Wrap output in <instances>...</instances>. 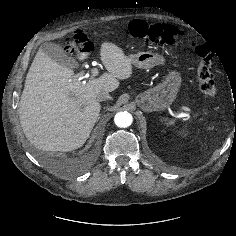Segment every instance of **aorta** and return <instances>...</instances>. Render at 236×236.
Wrapping results in <instances>:
<instances>
[{"instance_id":"1","label":"aorta","mask_w":236,"mask_h":236,"mask_svg":"<svg viewBox=\"0 0 236 236\" xmlns=\"http://www.w3.org/2000/svg\"><path fill=\"white\" fill-rule=\"evenodd\" d=\"M133 117L130 113L124 111V112H118L114 117V122L116 126L120 128H127L132 124Z\"/></svg>"}]
</instances>
